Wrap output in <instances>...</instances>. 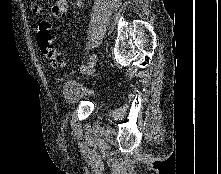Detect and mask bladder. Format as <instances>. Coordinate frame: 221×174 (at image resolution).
<instances>
[{
	"label": "bladder",
	"instance_id": "bladder-1",
	"mask_svg": "<svg viewBox=\"0 0 221 174\" xmlns=\"http://www.w3.org/2000/svg\"><path fill=\"white\" fill-rule=\"evenodd\" d=\"M61 93L68 104H76L83 100L96 101L97 94L75 79H67L62 84Z\"/></svg>",
	"mask_w": 221,
	"mask_h": 174
}]
</instances>
